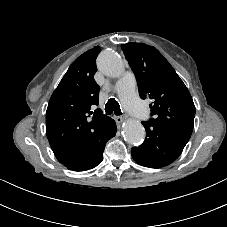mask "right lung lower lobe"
<instances>
[{"label": "right lung lower lobe", "instance_id": "right-lung-lower-lobe-1", "mask_svg": "<svg viewBox=\"0 0 227 227\" xmlns=\"http://www.w3.org/2000/svg\"><path fill=\"white\" fill-rule=\"evenodd\" d=\"M116 131V123L113 119H110L106 124L99 140L91 149L69 159L62 164L69 170L73 171H85L96 167L103 160V151L106 142L115 136Z\"/></svg>", "mask_w": 227, "mask_h": 227}]
</instances>
